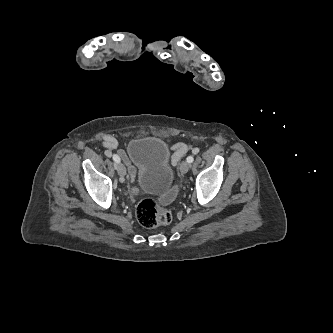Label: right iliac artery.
<instances>
[{
  "label": "right iliac artery",
  "instance_id": "right-iliac-artery-1",
  "mask_svg": "<svg viewBox=\"0 0 333 333\" xmlns=\"http://www.w3.org/2000/svg\"><path fill=\"white\" fill-rule=\"evenodd\" d=\"M113 160L116 162V163H119L120 162V158L118 155L114 154L113 155Z\"/></svg>",
  "mask_w": 333,
  "mask_h": 333
}]
</instances>
